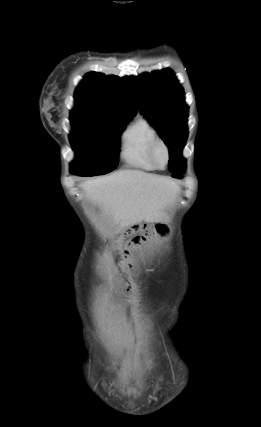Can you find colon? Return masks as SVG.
I'll use <instances>...</instances> for the list:
<instances>
[{
	"label": "colon",
	"mask_w": 261,
	"mask_h": 427,
	"mask_svg": "<svg viewBox=\"0 0 261 427\" xmlns=\"http://www.w3.org/2000/svg\"><path fill=\"white\" fill-rule=\"evenodd\" d=\"M150 234V232L149 231H147L143 236H141L139 239H138V241H143V240H145L147 237H148V235Z\"/></svg>",
	"instance_id": "colon-1"
}]
</instances>
